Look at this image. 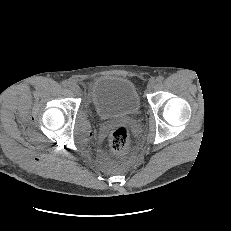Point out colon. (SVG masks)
<instances>
[{"instance_id":"obj_1","label":"colon","mask_w":231,"mask_h":231,"mask_svg":"<svg viewBox=\"0 0 231 231\" xmlns=\"http://www.w3.org/2000/svg\"><path fill=\"white\" fill-rule=\"evenodd\" d=\"M130 144V133L125 125L116 126L110 133L109 145L116 153L126 151Z\"/></svg>"}]
</instances>
